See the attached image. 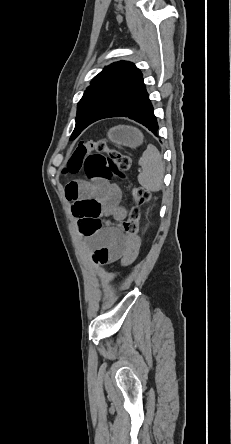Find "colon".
Here are the masks:
<instances>
[{"mask_svg": "<svg viewBox=\"0 0 231 444\" xmlns=\"http://www.w3.org/2000/svg\"><path fill=\"white\" fill-rule=\"evenodd\" d=\"M131 158L119 149L108 147L104 140L79 143L74 149L65 173L76 174L83 172L85 182L93 183L97 180H110L114 176L123 177L131 169ZM151 194L144 187H135L132 190L133 205L130 207L122 229L128 238H135L139 229L140 206L150 200ZM100 206L93 200H84L76 203L73 213L78 218L80 232L85 237H91L101 228L99 219Z\"/></svg>", "mask_w": 231, "mask_h": 444, "instance_id": "colon-1", "label": "colon"}]
</instances>
